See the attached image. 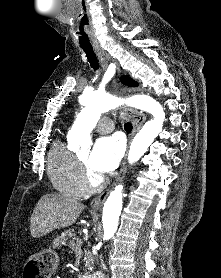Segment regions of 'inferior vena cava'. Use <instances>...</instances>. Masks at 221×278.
Wrapping results in <instances>:
<instances>
[{"mask_svg":"<svg viewBox=\"0 0 221 278\" xmlns=\"http://www.w3.org/2000/svg\"><path fill=\"white\" fill-rule=\"evenodd\" d=\"M100 267H101V269L104 268V263L102 261L100 263Z\"/></svg>","mask_w":221,"mask_h":278,"instance_id":"1","label":"inferior vena cava"}]
</instances>
